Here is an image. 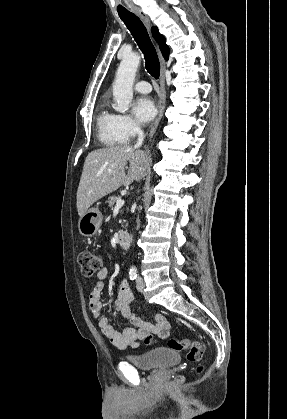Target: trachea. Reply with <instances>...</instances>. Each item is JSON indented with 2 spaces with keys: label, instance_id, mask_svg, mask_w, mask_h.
Masks as SVG:
<instances>
[{
  "label": "trachea",
  "instance_id": "obj_1",
  "mask_svg": "<svg viewBox=\"0 0 287 419\" xmlns=\"http://www.w3.org/2000/svg\"><path fill=\"white\" fill-rule=\"evenodd\" d=\"M119 17L129 29L133 38L144 54L145 67L147 72L151 76L158 79L160 75V63L146 27L135 14H122L119 15Z\"/></svg>",
  "mask_w": 287,
  "mask_h": 419
}]
</instances>
